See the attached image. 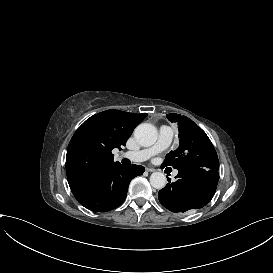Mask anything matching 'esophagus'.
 <instances>
[{
	"mask_svg": "<svg viewBox=\"0 0 273 273\" xmlns=\"http://www.w3.org/2000/svg\"><path fill=\"white\" fill-rule=\"evenodd\" d=\"M145 170H146L147 172H155V171H156V169L150 168V167H146Z\"/></svg>",
	"mask_w": 273,
	"mask_h": 273,
	"instance_id": "34e87169",
	"label": "esophagus"
}]
</instances>
